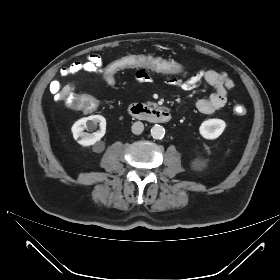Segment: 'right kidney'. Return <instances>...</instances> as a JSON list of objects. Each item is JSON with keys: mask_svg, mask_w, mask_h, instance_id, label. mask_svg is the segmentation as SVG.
<instances>
[{"mask_svg": "<svg viewBox=\"0 0 280 280\" xmlns=\"http://www.w3.org/2000/svg\"><path fill=\"white\" fill-rule=\"evenodd\" d=\"M97 124L100 130L92 134L84 132V129H94ZM73 137L83 146H90L99 141L106 132V119L101 115H91L76 121L72 128Z\"/></svg>", "mask_w": 280, "mask_h": 280, "instance_id": "1", "label": "right kidney"}]
</instances>
